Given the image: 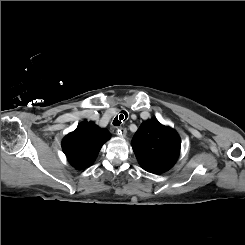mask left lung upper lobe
Masks as SVG:
<instances>
[{"label": "left lung upper lobe", "mask_w": 245, "mask_h": 245, "mask_svg": "<svg viewBox=\"0 0 245 245\" xmlns=\"http://www.w3.org/2000/svg\"><path fill=\"white\" fill-rule=\"evenodd\" d=\"M131 145L141 167L154 174L168 171L176 163L181 147L178 133L156 119L141 124Z\"/></svg>", "instance_id": "left-lung-upper-lobe-1"}]
</instances>
